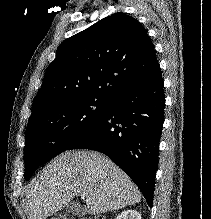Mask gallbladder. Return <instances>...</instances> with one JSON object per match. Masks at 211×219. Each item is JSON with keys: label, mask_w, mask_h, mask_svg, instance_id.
<instances>
[{"label": "gallbladder", "mask_w": 211, "mask_h": 219, "mask_svg": "<svg viewBox=\"0 0 211 219\" xmlns=\"http://www.w3.org/2000/svg\"><path fill=\"white\" fill-rule=\"evenodd\" d=\"M65 211L68 214L72 215H81L83 214V209L77 202H70L65 206Z\"/></svg>", "instance_id": "gallbladder-1"}]
</instances>
